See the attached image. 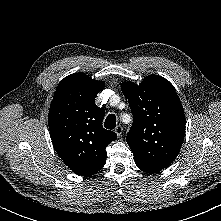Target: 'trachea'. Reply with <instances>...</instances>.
Wrapping results in <instances>:
<instances>
[{"label":"trachea","instance_id":"3493384b","mask_svg":"<svg viewBox=\"0 0 221 221\" xmlns=\"http://www.w3.org/2000/svg\"><path fill=\"white\" fill-rule=\"evenodd\" d=\"M115 126H116V117H115L114 114H109V115L107 116V118L105 119L104 127H105L106 129L112 130V129L115 128Z\"/></svg>","mask_w":221,"mask_h":221}]
</instances>
